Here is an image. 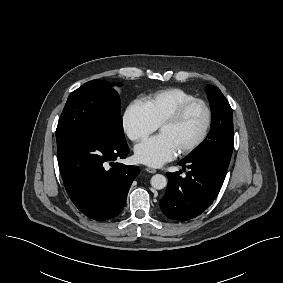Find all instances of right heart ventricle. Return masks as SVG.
<instances>
[{"instance_id":"obj_1","label":"right heart ventricle","mask_w":283,"mask_h":283,"mask_svg":"<svg viewBox=\"0 0 283 283\" xmlns=\"http://www.w3.org/2000/svg\"><path fill=\"white\" fill-rule=\"evenodd\" d=\"M195 96L182 88H166L144 97L143 103L153 119L159 125L183 103Z\"/></svg>"}]
</instances>
